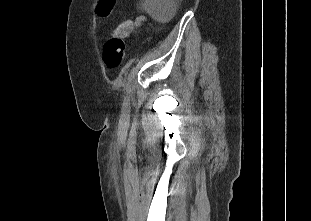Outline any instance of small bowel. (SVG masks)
Wrapping results in <instances>:
<instances>
[{
	"mask_svg": "<svg viewBox=\"0 0 311 221\" xmlns=\"http://www.w3.org/2000/svg\"><path fill=\"white\" fill-rule=\"evenodd\" d=\"M146 21V18L144 16H139L135 19V21L133 22V26L138 28L141 26L142 23H144Z\"/></svg>",
	"mask_w": 311,
	"mask_h": 221,
	"instance_id": "small-bowel-1",
	"label": "small bowel"
}]
</instances>
